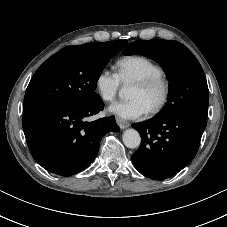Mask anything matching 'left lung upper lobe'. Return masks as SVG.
Returning <instances> with one entry per match:
<instances>
[{
    "label": "left lung upper lobe",
    "instance_id": "1",
    "mask_svg": "<svg viewBox=\"0 0 227 227\" xmlns=\"http://www.w3.org/2000/svg\"><path fill=\"white\" fill-rule=\"evenodd\" d=\"M135 53L158 62L170 81L168 102L154 118L185 114L206 120L209 101L206 77L186 46L172 40H137L123 50L124 55Z\"/></svg>",
    "mask_w": 227,
    "mask_h": 227
}]
</instances>
